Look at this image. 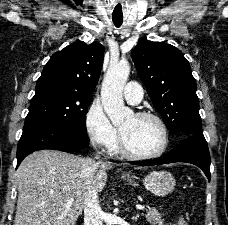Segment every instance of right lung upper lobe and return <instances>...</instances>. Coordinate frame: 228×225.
I'll return each instance as SVG.
<instances>
[{
  "instance_id": "cb5924a9",
  "label": "right lung upper lobe",
  "mask_w": 228,
  "mask_h": 225,
  "mask_svg": "<svg viewBox=\"0 0 228 225\" xmlns=\"http://www.w3.org/2000/svg\"><path fill=\"white\" fill-rule=\"evenodd\" d=\"M104 47L78 41L54 53L45 65L37 85L56 84L91 94L98 83Z\"/></svg>"
}]
</instances>
